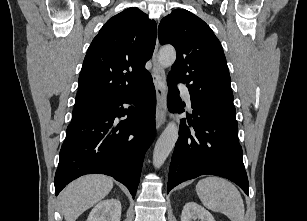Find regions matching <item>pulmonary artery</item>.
<instances>
[{
	"label": "pulmonary artery",
	"instance_id": "e3ab8cb5",
	"mask_svg": "<svg viewBox=\"0 0 307 221\" xmlns=\"http://www.w3.org/2000/svg\"><path fill=\"white\" fill-rule=\"evenodd\" d=\"M179 87L188 107H191V96L188 87L185 84H180Z\"/></svg>",
	"mask_w": 307,
	"mask_h": 221
}]
</instances>
